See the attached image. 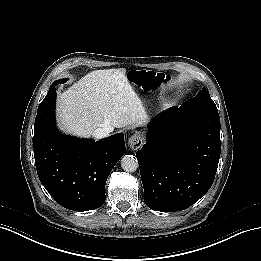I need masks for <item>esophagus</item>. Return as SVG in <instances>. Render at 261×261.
<instances>
[{"instance_id":"obj_1","label":"esophagus","mask_w":261,"mask_h":261,"mask_svg":"<svg viewBox=\"0 0 261 261\" xmlns=\"http://www.w3.org/2000/svg\"><path fill=\"white\" fill-rule=\"evenodd\" d=\"M128 144L130 146V149H132L133 151H136L139 148H141L142 145L144 144V138L140 133L133 134L129 138Z\"/></svg>"}]
</instances>
